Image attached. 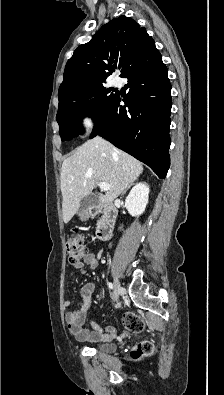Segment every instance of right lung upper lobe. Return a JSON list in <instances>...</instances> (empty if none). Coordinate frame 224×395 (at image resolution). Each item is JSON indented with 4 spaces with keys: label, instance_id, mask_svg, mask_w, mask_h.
Here are the masks:
<instances>
[{
    "label": "right lung upper lobe",
    "instance_id": "obj_1",
    "mask_svg": "<svg viewBox=\"0 0 224 395\" xmlns=\"http://www.w3.org/2000/svg\"><path fill=\"white\" fill-rule=\"evenodd\" d=\"M154 48L155 42L146 29L132 18L120 16L111 20L68 60L59 87V106L70 97L103 84L117 66L122 77Z\"/></svg>",
    "mask_w": 224,
    "mask_h": 395
}]
</instances>
